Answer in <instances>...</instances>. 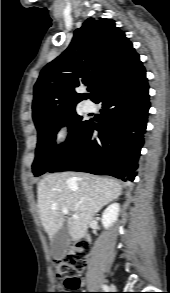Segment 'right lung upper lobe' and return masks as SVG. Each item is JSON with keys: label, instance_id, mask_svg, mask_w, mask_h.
<instances>
[{"label": "right lung upper lobe", "instance_id": "1", "mask_svg": "<svg viewBox=\"0 0 170 293\" xmlns=\"http://www.w3.org/2000/svg\"><path fill=\"white\" fill-rule=\"evenodd\" d=\"M142 67L139 55L112 19L88 18L74 32L67 49L41 71L34 85L33 119L36 128L51 122L89 97L76 93L86 84L91 99L111 84Z\"/></svg>", "mask_w": 170, "mask_h": 293}]
</instances>
